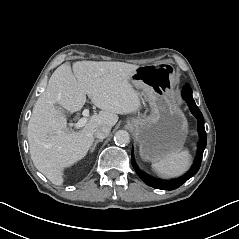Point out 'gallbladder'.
Returning a JSON list of instances; mask_svg holds the SVG:
<instances>
[{"label": "gallbladder", "instance_id": "gallbladder-1", "mask_svg": "<svg viewBox=\"0 0 239 239\" xmlns=\"http://www.w3.org/2000/svg\"><path fill=\"white\" fill-rule=\"evenodd\" d=\"M58 107V106H57ZM66 118L69 116L67 113L64 115Z\"/></svg>", "mask_w": 239, "mask_h": 239}]
</instances>
